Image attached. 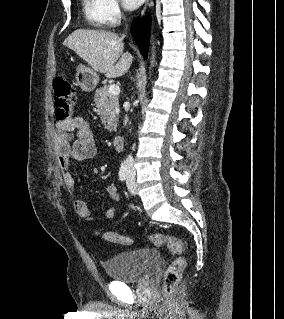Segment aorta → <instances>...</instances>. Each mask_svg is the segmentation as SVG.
Masks as SVG:
<instances>
[{
  "label": "aorta",
  "mask_w": 284,
  "mask_h": 319,
  "mask_svg": "<svg viewBox=\"0 0 284 319\" xmlns=\"http://www.w3.org/2000/svg\"><path fill=\"white\" fill-rule=\"evenodd\" d=\"M154 45H153V49H154ZM154 62H155V54L152 53V57H151V66H154Z\"/></svg>",
  "instance_id": "aorta-1"
}]
</instances>
